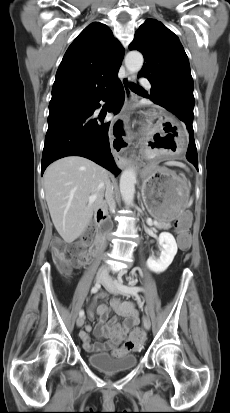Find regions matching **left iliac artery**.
I'll use <instances>...</instances> for the list:
<instances>
[{
	"label": "left iliac artery",
	"mask_w": 230,
	"mask_h": 413,
	"mask_svg": "<svg viewBox=\"0 0 230 413\" xmlns=\"http://www.w3.org/2000/svg\"><path fill=\"white\" fill-rule=\"evenodd\" d=\"M117 288L124 294H130L134 296H138L139 292L143 291V288L138 287V286H127L121 283L116 282Z\"/></svg>",
	"instance_id": "44dca946"
}]
</instances>
